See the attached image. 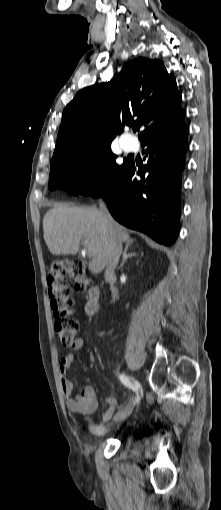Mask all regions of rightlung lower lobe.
Instances as JSON below:
<instances>
[{
  "instance_id": "98d812e1",
  "label": "right lung lower lobe",
  "mask_w": 221,
  "mask_h": 510,
  "mask_svg": "<svg viewBox=\"0 0 221 510\" xmlns=\"http://www.w3.org/2000/svg\"><path fill=\"white\" fill-rule=\"evenodd\" d=\"M188 133L183 121L171 129L145 136L141 145L148 147L147 165L137 170L134 161L128 162L99 194L119 223L165 246L175 242L179 231L181 174ZM136 173L140 178H136Z\"/></svg>"
}]
</instances>
